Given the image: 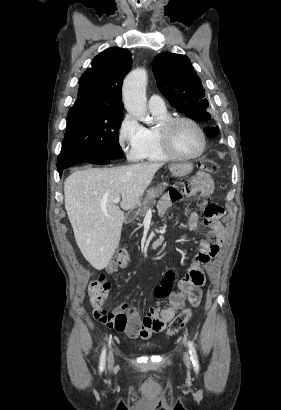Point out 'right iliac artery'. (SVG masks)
I'll return each instance as SVG.
<instances>
[{"mask_svg": "<svg viewBox=\"0 0 281 410\" xmlns=\"http://www.w3.org/2000/svg\"><path fill=\"white\" fill-rule=\"evenodd\" d=\"M105 361H106V350L103 349L100 357V369L103 370L105 368Z\"/></svg>", "mask_w": 281, "mask_h": 410, "instance_id": "right-iliac-artery-1", "label": "right iliac artery"}]
</instances>
